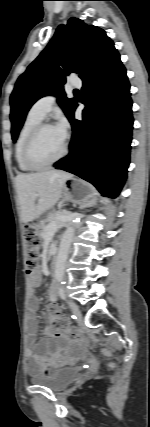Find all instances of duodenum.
I'll use <instances>...</instances> for the list:
<instances>
[{
  "label": "duodenum",
  "mask_w": 150,
  "mask_h": 427,
  "mask_svg": "<svg viewBox=\"0 0 150 427\" xmlns=\"http://www.w3.org/2000/svg\"><path fill=\"white\" fill-rule=\"evenodd\" d=\"M54 258L52 260V268H54L56 266L57 263V251H54Z\"/></svg>",
  "instance_id": "410a0bca"
}]
</instances>
